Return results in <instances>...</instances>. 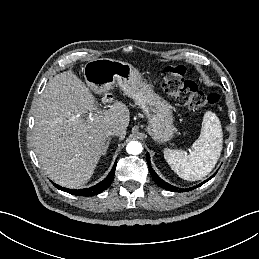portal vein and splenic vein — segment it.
I'll use <instances>...</instances> for the list:
<instances>
[{"label":"portal vein and splenic vein","instance_id":"obj_1","mask_svg":"<svg viewBox=\"0 0 259 259\" xmlns=\"http://www.w3.org/2000/svg\"><path fill=\"white\" fill-rule=\"evenodd\" d=\"M88 119H90V120H91V119H92V116H91V115H89Z\"/></svg>","mask_w":259,"mask_h":259}]
</instances>
